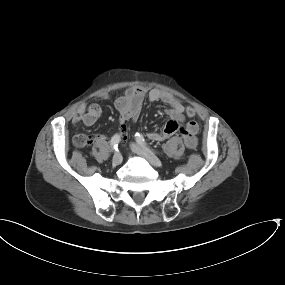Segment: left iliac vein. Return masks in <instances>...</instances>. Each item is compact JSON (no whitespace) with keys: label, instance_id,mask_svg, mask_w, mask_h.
Here are the masks:
<instances>
[{"label":"left iliac vein","instance_id":"left-iliac-vein-1","mask_svg":"<svg viewBox=\"0 0 285 285\" xmlns=\"http://www.w3.org/2000/svg\"><path fill=\"white\" fill-rule=\"evenodd\" d=\"M131 149L134 153L145 157L152 165L154 166L161 165V161L155 156V154L150 149L137 143H132Z\"/></svg>","mask_w":285,"mask_h":285}]
</instances>
